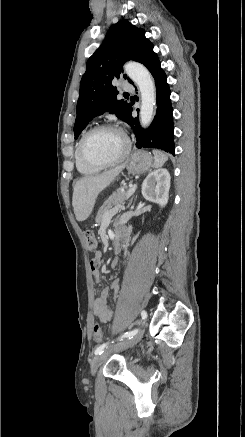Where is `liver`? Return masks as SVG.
<instances>
[{"label":"liver","mask_w":245,"mask_h":437,"mask_svg":"<svg viewBox=\"0 0 245 437\" xmlns=\"http://www.w3.org/2000/svg\"><path fill=\"white\" fill-rule=\"evenodd\" d=\"M124 167L125 165H121L96 176H86L76 182L73 187L72 205L77 221H85L90 216L99 193L115 180Z\"/></svg>","instance_id":"liver-1"}]
</instances>
